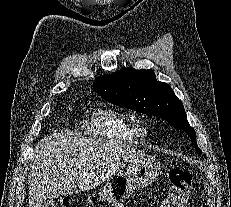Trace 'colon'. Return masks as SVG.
Masks as SVG:
<instances>
[{
	"label": "colon",
	"instance_id": "colon-1",
	"mask_svg": "<svg viewBox=\"0 0 231 207\" xmlns=\"http://www.w3.org/2000/svg\"><path fill=\"white\" fill-rule=\"evenodd\" d=\"M170 188L164 200L163 207H185L192 190V176L182 168H172L169 171ZM43 207H70L66 199H51Z\"/></svg>",
	"mask_w": 231,
	"mask_h": 207
}]
</instances>
